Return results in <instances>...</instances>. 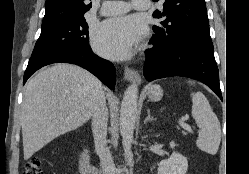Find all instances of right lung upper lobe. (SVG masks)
I'll use <instances>...</instances> for the list:
<instances>
[{
    "label": "right lung upper lobe",
    "mask_w": 249,
    "mask_h": 174,
    "mask_svg": "<svg viewBox=\"0 0 249 174\" xmlns=\"http://www.w3.org/2000/svg\"><path fill=\"white\" fill-rule=\"evenodd\" d=\"M88 0H46L45 16L42 26L84 17V14L91 8Z\"/></svg>",
    "instance_id": "1"
}]
</instances>
